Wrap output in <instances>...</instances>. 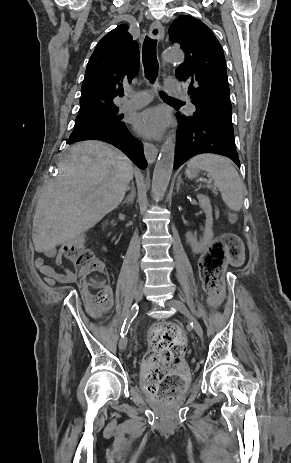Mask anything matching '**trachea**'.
I'll use <instances>...</instances> for the list:
<instances>
[{
  "instance_id": "3493384b",
  "label": "trachea",
  "mask_w": 291,
  "mask_h": 463,
  "mask_svg": "<svg viewBox=\"0 0 291 463\" xmlns=\"http://www.w3.org/2000/svg\"><path fill=\"white\" fill-rule=\"evenodd\" d=\"M156 44L157 40L145 37L142 49V60L144 66L145 76L151 83H154L158 74V62L156 59ZM161 96L164 100L180 102L181 101L169 97L161 92Z\"/></svg>"
}]
</instances>
